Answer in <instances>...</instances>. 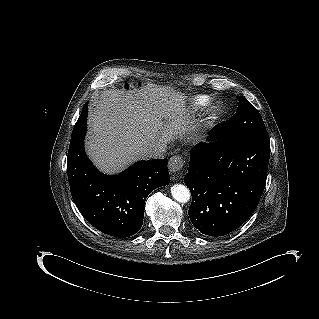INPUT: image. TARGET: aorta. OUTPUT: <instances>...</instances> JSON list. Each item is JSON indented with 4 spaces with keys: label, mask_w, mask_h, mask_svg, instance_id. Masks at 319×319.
I'll return each instance as SVG.
<instances>
[{
    "label": "aorta",
    "mask_w": 319,
    "mask_h": 319,
    "mask_svg": "<svg viewBox=\"0 0 319 319\" xmlns=\"http://www.w3.org/2000/svg\"><path fill=\"white\" fill-rule=\"evenodd\" d=\"M171 195L179 203H187L191 197L189 189L182 184L173 185Z\"/></svg>",
    "instance_id": "obj_1"
}]
</instances>
